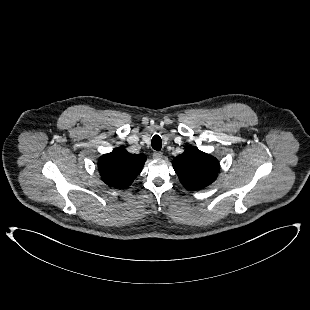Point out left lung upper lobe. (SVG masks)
<instances>
[{"label": "left lung upper lobe", "mask_w": 310, "mask_h": 310, "mask_svg": "<svg viewBox=\"0 0 310 310\" xmlns=\"http://www.w3.org/2000/svg\"><path fill=\"white\" fill-rule=\"evenodd\" d=\"M181 184L188 190H199L213 183L218 175V160L196 147H188L172 161Z\"/></svg>", "instance_id": "left-lung-upper-lobe-1"}]
</instances>
